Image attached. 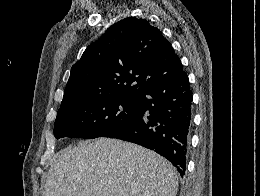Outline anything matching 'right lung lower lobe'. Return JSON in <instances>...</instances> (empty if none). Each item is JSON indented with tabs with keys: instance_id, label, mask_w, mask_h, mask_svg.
I'll return each instance as SVG.
<instances>
[{
	"instance_id": "obj_1",
	"label": "right lung lower lobe",
	"mask_w": 260,
	"mask_h": 196,
	"mask_svg": "<svg viewBox=\"0 0 260 196\" xmlns=\"http://www.w3.org/2000/svg\"><path fill=\"white\" fill-rule=\"evenodd\" d=\"M142 117L104 137L133 142L168 159L183 177L192 123V92L187 74L154 86L138 96Z\"/></svg>"
}]
</instances>
